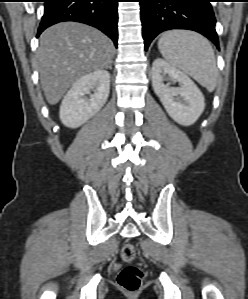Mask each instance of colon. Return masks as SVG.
I'll return each instance as SVG.
<instances>
[{"label": "colon", "instance_id": "5ec220e1", "mask_svg": "<svg viewBox=\"0 0 248 299\" xmlns=\"http://www.w3.org/2000/svg\"><path fill=\"white\" fill-rule=\"evenodd\" d=\"M121 257L124 262L132 263L136 257V248L132 243H126L121 250ZM144 279L143 270L135 265L124 267L117 276V283L121 289L129 293L137 292Z\"/></svg>", "mask_w": 248, "mask_h": 299}]
</instances>
